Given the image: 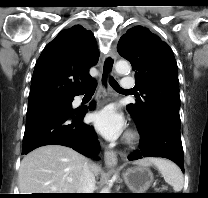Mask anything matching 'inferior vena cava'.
<instances>
[{
	"label": "inferior vena cava",
	"mask_w": 208,
	"mask_h": 198,
	"mask_svg": "<svg viewBox=\"0 0 208 198\" xmlns=\"http://www.w3.org/2000/svg\"><path fill=\"white\" fill-rule=\"evenodd\" d=\"M95 183L92 164L87 162L83 167L76 193H93L95 190Z\"/></svg>",
	"instance_id": "1"
}]
</instances>
